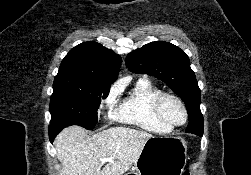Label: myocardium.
Here are the masks:
<instances>
[{
  "label": "myocardium",
  "instance_id": "myocardium-1",
  "mask_svg": "<svg viewBox=\"0 0 251 175\" xmlns=\"http://www.w3.org/2000/svg\"><path fill=\"white\" fill-rule=\"evenodd\" d=\"M166 97L175 98L176 100L179 101V103L184 108V111H185V121L181 125H178V126L172 125L162 115V112H161V103H162V101ZM152 110H153V113H154L155 117L157 118V120L161 124H163L165 127H167L168 129H170L172 131H176V130H179V129L185 127L187 125V123L189 121V117H190L188 106L186 105V103L184 102V100L181 98V96H179L178 94L173 93V92L162 91L157 96H155V98L153 99V102H152Z\"/></svg>",
  "mask_w": 251,
  "mask_h": 175
}]
</instances>
